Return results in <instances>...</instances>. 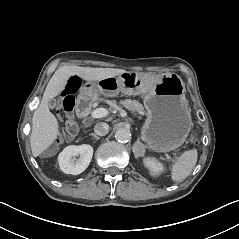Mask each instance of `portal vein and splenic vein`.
<instances>
[{
  "label": "portal vein and splenic vein",
  "mask_w": 239,
  "mask_h": 239,
  "mask_svg": "<svg viewBox=\"0 0 239 239\" xmlns=\"http://www.w3.org/2000/svg\"><path fill=\"white\" fill-rule=\"evenodd\" d=\"M108 114L109 111L106 108H97L91 113V116L93 118H102L106 117ZM164 154L166 155L165 159L169 160L172 163H175V160L173 159V157H171V155H168L166 152Z\"/></svg>",
  "instance_id": "18ae733b"
}]
</instances>
